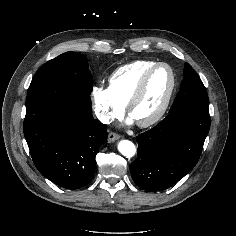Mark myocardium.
<instances>
[{
	"instance_id": "obj_1",
	"label": "myocardium",
	"mask_w": 236,
	"mask_h": 236,
	"mask_svg": "<svg viewBox=\"0 0 236 236\" xmlns=\"http://www.w3.org/2000/svg\"><path fill=\"white\" fill-rule=\"evenodd\" d=\"M161 67L167 68L170 73V77H171L170 86H169L168 92L166 94V97H165L161 107L155 113V115H153L151 118H149L145 121L137 122L138 126H140L142 128L151 127V126L155 125L156 123H158L162 119V117L165 115V113L170 105V102H171V99L173 97L175 87H176V75H175V72L172 69V67L167 63L158 62V63L154 64L153 66H151L149 69H147L146 72L141 77L140 81L138 82V84H137L135 90L133 91L132 95L130 96L129 100L126 103V111H127L128 115L130 116L133 107L135 106V104L139 101V99L143 95L151 75L157 69H159Z\"/></svg>"
}]
</instances>
